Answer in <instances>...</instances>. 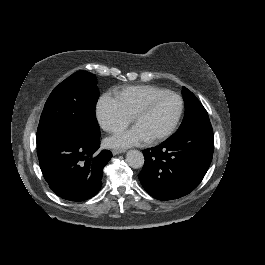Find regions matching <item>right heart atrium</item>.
Here are the masks:
<instances>
[{
	"mask_svg": "<svg viewBox=\"0 0 265 265\" xmlns=\"http://www.w3.org/2000/svg\"><path fill=\"white\" fill-rule=\"evenodd\" d=\"M95 114L99 125L107 132H116L131 120V116L126 114L118 99L111 94L100 98Z\"/></svg>",
	"mask_w": 265,
	"mask_h": 265,
	"instance_id": "obj_1",
	"label": "right heart atrium"
}]
</instances>
